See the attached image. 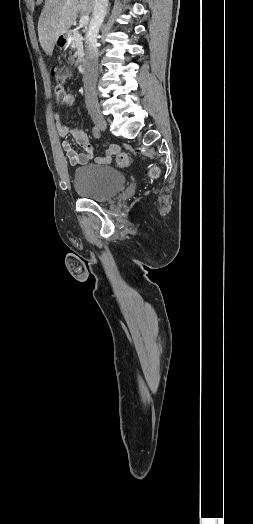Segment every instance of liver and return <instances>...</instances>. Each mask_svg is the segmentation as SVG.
<instances>
[{"label":"liver","mask_w":253,"mask_h":524,"mask_svg":"<svg viewBox=\"0 0 253 524\" xmlns=\"http://www.w3.org/2000/svg\"><path fill=\"white\" fill-rule=\"evenodd\" d=\"M94 0H45L38 20L40 45L47 55H52L55 42L67 33L78 13L89 15L93 12Z\"/></svg>","instance_id":"obj_1"}]
</instances>
